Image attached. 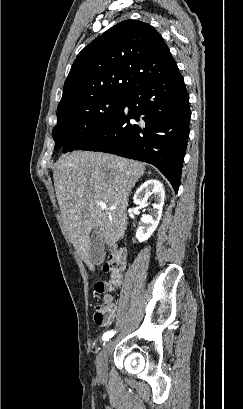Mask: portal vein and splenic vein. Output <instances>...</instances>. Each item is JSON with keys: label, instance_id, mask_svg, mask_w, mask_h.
I'll return each instance as SVG.
<instances>
[{"label": "portal vein and splenic vein", "instance_id": "1", "mask_svg": "<svg viewBox=\"0 0 243 409\" xmlns=\"http://www.w3.org/2000/svg\"><path fill=\"white\" fill-rule=\"evenodd\" d=\"M98 205L100 206V208H101L102 210H106V209H107L106 204H105L104 202H102V201H100V202L98 203Z\"/></svg>", "mask_w": 243, "mask_h": 409}]
</instances>
